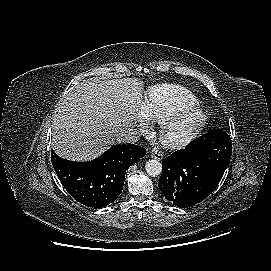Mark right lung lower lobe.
I'll list each match as a JSON object with an SVG mask.
<instances>
[{
    "instance_id": "right-lung-lower-lobe-1",
    "label": "right lung lower lobe",
    "mask_w": 271,
    "mask_h": 271,
    "mask_svg": "<svg viewBox=\"0 0 271 271\" xmlns=\"http://www.w3.org/2000/svg\"><path fill=\"white\" fill-rule=\"evenodd\" d=\"M145 154L146 149L138 145H114L88 162L62 159L51 150V161L62 185L75 200L101 208L121 194L126 170Z\"/></svg>"
}]
</instances>
